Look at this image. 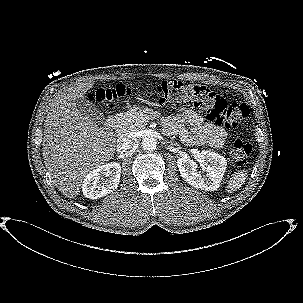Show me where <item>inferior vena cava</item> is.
I'll list each match as a JSON object with an SVG mask.
<instances>
[{"label":"inferior vena cava","mask_w":303,"mask_h":303,"mask_svg":"<svg viewBox=\"0 0 303 303\" xmlns=\"http://www.w3.org/2000/svg\"><path fill=\"white\" fill-rule=\"evenodd\" d=\"M118 144H119V147H121L122 149L124 150H129L132 148L133 146V142L132 140L130 139V137L126 134H122L119 139H118Z\"/></svg>","instance_id":"1"}]
</instances>
